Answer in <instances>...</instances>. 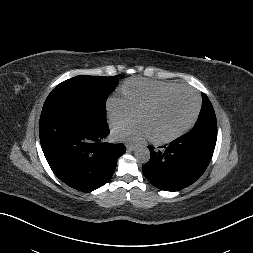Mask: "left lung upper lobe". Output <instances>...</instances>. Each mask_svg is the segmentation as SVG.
<instances>
[{"label": "left lung upper lobe", "instance_id": "obj_1", "mask_svg": "<svg viewBox=\"0 0 253 253\" xmlns=\"http://www.w3.org/2000/svg\"><path fill=\"white\" fill-rule=\"evenodd\" d=\"M202 97L204 103L198 121L189 132H201L212 137H217V120L213 106L204 93H202Z\"/></svg>", "mask_w": 253, "mask_h": 253}]
</instances>
